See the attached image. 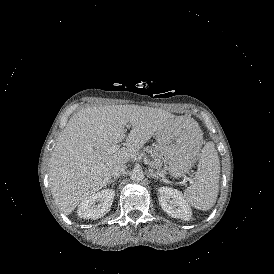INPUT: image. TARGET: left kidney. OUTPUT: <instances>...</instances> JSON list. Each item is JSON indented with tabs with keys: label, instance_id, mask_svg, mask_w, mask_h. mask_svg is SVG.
Listing matches in <instances>:
<instances>
[{
	"label": "left kidney",
	"instance_id": "5707ae66",
	"mask_svg": "<svg viewBox=\"0 0 274 274\" xmlns=\"http://www.w3.org/2000/svg\"><path fill=\"white\" fill-rule=\"evenodd\" d=\"M159 203L169 216L182 220L191 219L189 206L183 200L182 194L179 191L161 187L159 189Z\"/></svg>",
	"mask_w": 274,
	"mask_h": 274
}]
</instances>
